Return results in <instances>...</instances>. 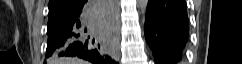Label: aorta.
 <instances>
[{
    "instance_id": "1",
    "label": "aorta",
    "mask_w": 242,
    "mask_h": 64,
    "mask_svg": "<svg viewBox=\"0 0 242 64\" xmlns=\"http://www.w3.org/2000/svg\"><path fill=\"white\" fill-rule=\"evenodd\" d=\"M148 5V0H138V7L141 9L142 12L146 11Z\"/></svg>"
}]
</instances>
